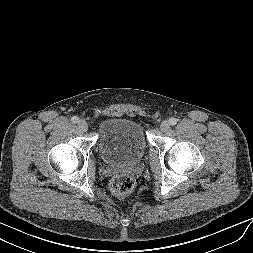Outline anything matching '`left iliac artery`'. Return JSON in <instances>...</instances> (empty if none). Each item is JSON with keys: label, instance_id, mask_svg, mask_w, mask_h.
<instances>
[{"label": "left iliac artery", "instance_id": "1", "mask_svg": "<svg viewBox=\"0 0 253 253\" xmlns=\"http://www.w3.org/2000/svg\"><path fill=\"white\" fill-rule=\"evenodd\" d=\"M176 123H177V119L176 118L172 117V118L169 119V124L170 125H175Z\"/></svg>", "mask_w": 253, "mask_h": 253}]
</instances>
